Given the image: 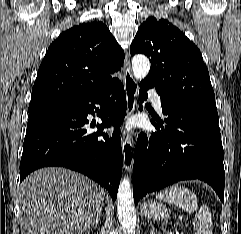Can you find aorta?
<instances>
[{
	"mask_svg": "<svg viewBox=\"0 0 241 234\" xmlns=\"http://www.w3.org/2000/svg\"><path fill=\"white\" fill-rule=\"evenodd\" d=\"M150 70V61L144 55H136L132 59V71L136 79H144ZM117 213L121 226L132 233L136 226V212L130 180L124 177L117 194Z\"/></svg>",
	"mask_w": 241,
	"mask_h": 234,
	"instance_id": "aorta-1",
	"label": "aorta"
}]
</instances>
